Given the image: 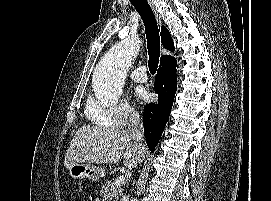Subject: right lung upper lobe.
Masks as SVG:
<instances>
[{"mask_svg": "<svg viewBox=\"0 0 271 201\" xmlns=\"http://www.w3.org/2000/svg\"><path fill=\"white\" fill-rule=\"evenodd\" d=\"M161 42L163 44V46L170 50V51H174V44H173V40L171 38V35L169 33V31L166 29L165 26H162L161 27ZM170 60H174V58L172 56H168V55H163L161 56L160 58V65L165 63V62H168Z\"/></svg>", "mask_w": 271, "mask_h": 201, "instance_id": "right-lung-upper-lobe-1", "label": "right lung upper lobe"}]
</instances>
